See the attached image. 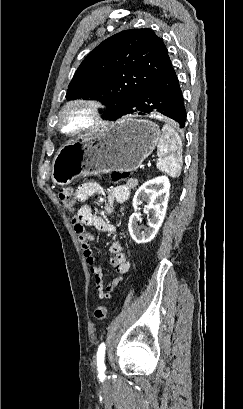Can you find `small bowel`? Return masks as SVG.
Listing matches in <instances>:
<instances>
[{"instance_id": "obj_1", "label": "small bowel", "mask_w": 243, "mask_h": 409, "mask_svg": "<svg viewBox=\"0 0 243 409\" xmlns=\"http://www.w3.org/2000/svg\"><path fill=\"white\" fill-rule=\"evenodd\" d=\"M137 183L138 181L136 179H130L123 185L110 188L103 198L105 211L109 214L113 213L115 210L114 203L125 202L129 197L131 189L136 187ZM101 193L102 188L96 182L84 183L76 190V194L81 201H85L92 196H99ZM72 224L81 243L85 260L90 267V272L94 276L95 288L99 294V298L109 299L112 291L122 281L123 274L128 271V258L119 241H114L110 245L109 251L113 255L111 264L116 274L109 284L104 285L102 265L96 262L93 250L89 244L94 239V235L86 230L85 227L88 226L109 233H115L117 228L115 225L107 223L100 215L95 213L89 205H83L78 212L73 215Z\"/></svg>"}]
</instances>
